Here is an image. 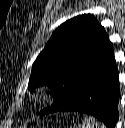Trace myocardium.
Listing matches in <instances>:
<instances>
[{
  "mask_svg": "<svg viewBox=\"0 0 125 128\" xmlns=\"http://www.w3.org/2000/svg\"><path fill=\"white\" fill-rule=\"evenodd\" d=\"M41 98H42L41 95H36V96H34V101L37 102V103H40L41 102Z\"/></svg>",
  "mask_w": 125,
  "mask_h": 128,
  "instance_id": "f54148a6",
  "label": "myocardium"
}]
</instances>
